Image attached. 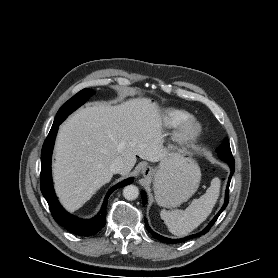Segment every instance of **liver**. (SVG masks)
I'll return each instance as SVG.
<instances>
[{
  "mask_svg": "<svg viewBox=\"0 0 278 278\" xmlns=\"http://www.w3.org/2000/svg\"><path fill=\"white\" fill-rule=\"evenodd\" d=\"M162 117L148 98L129 100L117 106L95 103L78 110L60 127L53 178L63 206L73 212L81 208L113 173L110 164L122 158L127 175L139 156L156 162L163 146Z\"/></svg>",
  "mask_w": 278,
  "mask_h": 278,
  "instance_id": "obj_1",
  "label": "liver"
}]
</instances>
